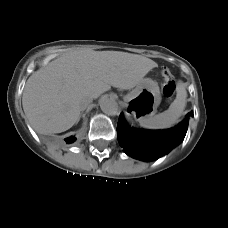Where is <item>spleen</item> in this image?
Returning <instances> with one entry per match:
<instances>
[{
    "instance_id": "1",
    "label": "spleen",
    "mask_w": 228,
    "mask_h": 228,
    "mask_svg": "<svg viewBox=\"0 0 228 228\" xmlns=\"http://www.w3.org/2000/svg\"><path fill=\"white\" fill-rule=\"evenodd\" d=\"M187 91L182 84L177 86L175 100L169 108L155 116L145 117L140 120V124L148 129H165L174 125L182 115L186 106Z\"/></svg>"
}]
</instances>
